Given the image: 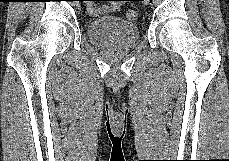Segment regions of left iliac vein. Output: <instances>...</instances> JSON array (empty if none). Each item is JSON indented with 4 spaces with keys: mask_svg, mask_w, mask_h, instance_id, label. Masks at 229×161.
Instances as JSON below:
<instances>
[{
    "mask_svg": "<svg viewBox=\"0 0 229 161\" xmlns=\"http://www.w3.org/2000/svg\"><path fill=\"white\" fill-rule=\"evenodd\" d=\"M150 0H144V4H148Z\"/></svg>",
    "mask_w": 229,
    "mask_h": 161,
    "instance_id": "obj_1",
    "label": "left iliac vein"
}]
</instances>
